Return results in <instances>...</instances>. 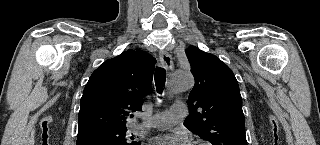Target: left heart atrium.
Returning <instances> with one entry per match:
<instances>
[{"label":"left heart atrium","instance_id":"1","mask_svg":"<svg viewBox=\"0 0 320 145\" xmlns=\"http://www.w3.org/2000/svg\"><path fill=\"white\" fill-rule=\"evenodd\" d=\"M158 145H187V139L182 134L166 135L156 140Z\"/></svg>","mask_w":320,"mask_h":145}]
</instances>
